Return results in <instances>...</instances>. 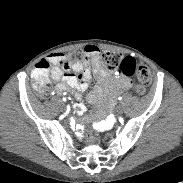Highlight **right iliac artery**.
I'll use <instances>...</instances> for the list:
<instances>
[{
	"label": "right iliac artery",
	"instance_id": "1",
	"mask_svg": "<svg viewBox=\"0 0 183 183\" xmlns=\"http://www.w3.org/2000/svg\"><path fill=\"white\" fill-rule=\"evenodd\" d=\"M63 101H66V98L65 97L63 98Z\"/></svg>",
	"mask_w": 183,
	"mask_h": 183
}]
</instances>
